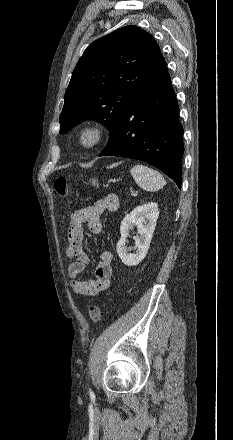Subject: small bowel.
<instances>
[{"label":"small bowel","mask_w":233,"mask_h":440,"mask_svg":"<svg viewBox=\"0 0 233 440\" xmlns=\"http://www.w3.org/2000/svg\"><path fill=\"white\" fill-rule=\"evenodd\" d=\"M119 207L116 194H109L93 205L85 207L70 218L67 231L66 255L70 260L67 273L74 293L82 296H95L109 288L112 276L113 255L104 251L95 269L93 279L84 280L80 274L89 264V257L83 248L84 229L99 234L102 230L101 219L106 211H115Z\"/></svg>","instance_id":"small-bowel-1"}]
</instances>
